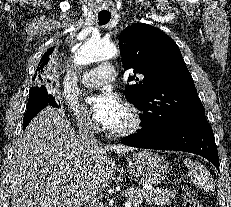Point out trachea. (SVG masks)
Instances as JSON below:
<instances>
[{
  "label": "trachea",
  "instance_id": "1",
  "mask_svg": "<svg viewBox=\"0 0 231 207\" xmlns=\"http://www.w3.org/2000/svg\"><path fill=\"white\" fill-rule=\"evenodd\" d=\"M110 18H111L110 13H99L98 14L99 24H101V25L108 23Z\"/></svg>",
  "mask_w": 231,
  "mask_h": 207
}]
</instances>
